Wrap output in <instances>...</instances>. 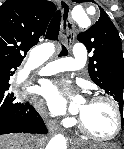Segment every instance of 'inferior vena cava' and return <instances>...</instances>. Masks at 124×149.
Returning a JSON list of instances; mask_svg holds the SVG:
<instances>
[{
  "label": "inferior vena cava",
  "mask_w": 124,
  "mask_h": 149,
  "mask_svg": "<svg viewBox=\"0 0 124 149\" xmlns=\"http://www.w3.org/2000/svg\"><path fill=\"white\" fill-rule=\"evenodd\" d=\"M39 142V136H34V139H30L28 149H37Z\"/></svg>",
  "instance_id": "1"
}]
</instances>
